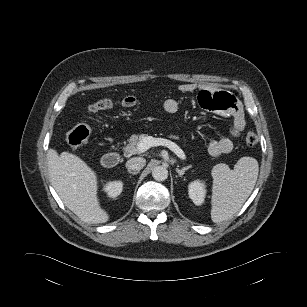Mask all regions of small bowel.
I'll use <instances>...</instances> for the list:
<instances>
[{"label": "small bowel", "instance_id": "c3829d8e", "mask_svg": "<svg viewBox=\"0 0 307 307\" xmlns=\"http://www.w3.org/2000/svg\"><path fill=\"white\" fill-rule=\"evenodd\" d=\"M199 90L198 103L204 109L215 111L217 114L232 118V127L229 136L209 142L207 150L212 157L230 153L234 148V140L240 136L245 128L243 112L236 98L228 92H213L208 86H198L193 83H184L179 86L181 93H193ZM167 113H176L179 103L174 98H168L163 103Z\"/></svg>", "mask_w": 307, "mask_h": 307}]
</instances>
